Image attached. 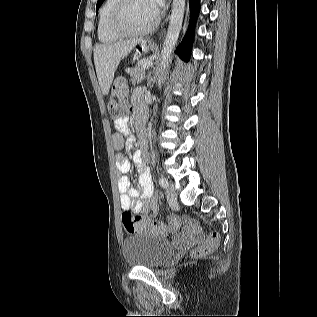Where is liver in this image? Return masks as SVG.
I'll list each match as a JSON object with an SVG mask.
<instances>
[{
    "label": "liver",
    "mask_w": 317,
    "mask_h": 317,
    "mask_svg": "<svg viewBox=\"0 0 317 317\" xmlns=\"http://www.w3.org/2000/svg\"><path fill=\"white\" fill-rule=\"evenodd\" d=\"M141 40L132 39L115 43L98 44L94 48V64L103 95L109 93L115 71L120 61L126 57Z\"/></svg>",
    "instance_id": "1"
}]
</instances>
